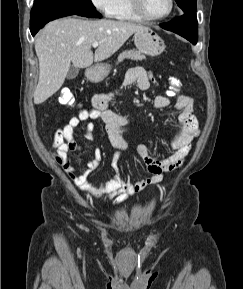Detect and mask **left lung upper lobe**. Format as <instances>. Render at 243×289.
<instances>
[{
	"instance_id": "5c2ea615",
	"label": "left lung upper lobe",
	"mask_w": 243,
	"mask_h": 289,
	"mask_svg": "<svg viewBox=\"0 0 243 289\" xmlns=\"http://www.w3.org/2000/svg\"><path fill=\"white\" fill-rule=\"evenodd\" d=\"M178 6L184 11V13L196 12L197 0H175Z\"/></svg>"
}]
</instances>
